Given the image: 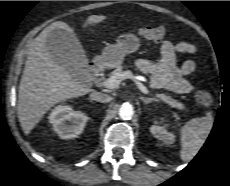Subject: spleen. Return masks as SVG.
I'll return each mask as SVG.
<instances>
[{
  "label": "spleen",
  "instance_id": "3e777b00",
  "mask_svg": "<svg viewBox=\"0 0 230 186\" xmlns=\"http://www.w3.org/2000/svg\"><path fill=\"white\" fill-rule=\"evenodd\" d=\"M212 126L211 112H207L205 117L194 118L180 129V157L183 161H190L198 153L205 143Z\"/></svg>",
  "mask_w": 230,
  "mask_h": 186
}]
</instances>
